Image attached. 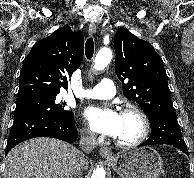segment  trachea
Returning a JSON list of instances; mask_svg holds the SVG:
<instances>
[{
    "instance_id": "3493384b",
    "label": "trachea",
    "mask_w": 194,
    "mask_h": 178,
    "mask_svg": "<svg viewBox=\"0 0 194 178\" xmlns=\"http://www.w3.org/2000/svg\"><path fill=\"white\" fill-rule=\"evenodd\" d=\"M94 53V41L92 38L87 39L85 43V55L87 59H91Z\"/></svg>"
}]
</instances>
